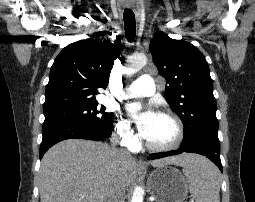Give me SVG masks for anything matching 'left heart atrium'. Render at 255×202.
Returning <instances> with one entry per match:
<instances>
[{"instance_id":"obj_1","label":"left heart atrium","mask_w":255,"mask_h":202,"mask_svg":"<svg viewBox=\"0 0 255 202\" xmlns=\"http://www.w3.org/2000/svg\"><path fill=\"white\" fill-rule=\"evenodd\" d=\"M127 113L136 123L140 134L144 137L153 123L157 113L151 109H145L140 103H131L126 106Z\"/></svg>"}]
</instances>
